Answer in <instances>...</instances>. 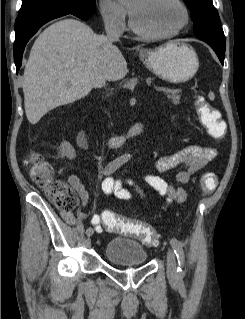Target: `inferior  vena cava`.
<instances>
[{
  "mask_svg": "<svg viewBox=\"0 0 245 319\" xmlns=\"http://www.w3.org/2000/svg\"><path fill=\"white\" fill-rule=\"evenodd\" d=\"M105 31H106V37L108 39L109 46L111 48H115L116 46H114L112 44V42L118 41L119 37H120V34L117 31V29H116L114 18H110V19L106 20V22H105Z\"/></svg>",
  "mask_w": 245,
  "mask_h": 319,
  "instance_id": "inferior-vena-cava-1",
  "label": "inferior vena cava"
}]
</instances>
